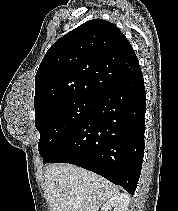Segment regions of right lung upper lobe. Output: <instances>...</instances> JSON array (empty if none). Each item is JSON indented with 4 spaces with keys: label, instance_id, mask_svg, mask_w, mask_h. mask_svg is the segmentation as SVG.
Listing matches in <instances>:
<instances>
[{
    "label": "right lung upper lobe",
    "instance_id": "1",
    "mask_svg": "<svg viewBox=\"0 0 178 211\" xmlns=\"http://www.w3.org/2000/svg\"><path fill=\"white\" fill-rule=\"evenodd\" d=\"M140 70L118 27L102 19L85 22L56 41L35 77V113L68 99H97Z\"/></svg>",
    "mask_w": 178,
    "mask_h": 211
}]
</instances>
